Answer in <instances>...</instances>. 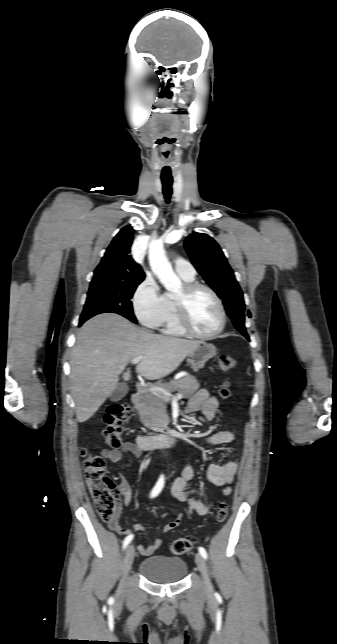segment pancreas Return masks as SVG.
Segmentation results:
<instances>
[{
	"mask_svg": "<svg viewBox=\"0 0 337 644\" xmlns=\"http://www.w3.org/2000/svg\"><path fill=\"white\" fill-rule=\"evenodd\" d=\"M155 386L169 392L178 391L184 398H189L198 390L199 383L195 377L185 375L181 379L169 383H158ZM149 388L140 389V402L138 405L140 421L151 430L162 431L165 423L169 421L166 414L167 399L162 394H153Z\"/></svg>",
	"mask_w": 337,
	"mask_h": 644,
	"instance_id": "1",
	"label": "pancreas"
}]
</instances>
